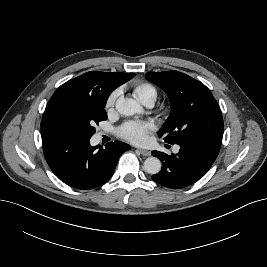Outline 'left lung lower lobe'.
<instances>
[{
	"label": "left lung lower lobe",
	"mask_w": 267,
	"mask_h": 267,
	"mask_svg": "<svg viewBox=\"0 0 267 267\" xmlns=\"http://www.w3.org/2000/svg\"><path fill=\"white\" fill-rule=\"evenodd\" d=\"M222 139L203 138L178 144L177 154L167 155L152 151L162 162V170L153 175V181L173 189L192 185L211 168L220 151Z\"/></svg>",
	"instance_id": "1"
}]
</instances>
